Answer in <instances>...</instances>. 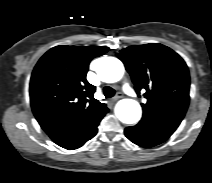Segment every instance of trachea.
<instances>
[{"mask_svg": "<svg viewBox=\"0 0 212 183\" xmlns=\"http://www.w3.org/2000/svg\"><path fill=\"white\" fill-rule=\"evenodd\" d=\"M103 94L106 98H111L115 95V90L109 86H106L104 89H103Z\"/></svg>", "mask_w": 212, "mask_h": 183, "instance_id": "1", "label": "trachea"}]
</instances>
